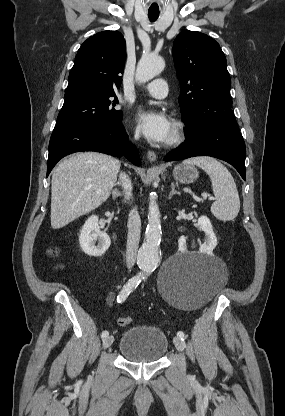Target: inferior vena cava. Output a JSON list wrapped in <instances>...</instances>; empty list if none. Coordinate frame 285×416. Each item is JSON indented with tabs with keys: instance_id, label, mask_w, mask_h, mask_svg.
<instances>
[{
	"instance_id": "602c4592",
	"label": "inferior vena cava",
	"mask_w": 285,
	"mask_h": 416,
	"mask_svg": "<svg viewBox=\"0 0 285 416\" xmlns=\"http://www.w3.org/2000/svg\"><path fill=\"white\" fill-rule=\"evenodd\" d=\"M120 180L125 190V200H131L132 184L126 174H120ZM141 220L136 208L131 210L128 218V238L126 250V264L127 268H132L136 262L138 252V244L140 240Z\"/></svg>"
}]
</instances>
